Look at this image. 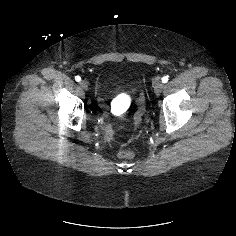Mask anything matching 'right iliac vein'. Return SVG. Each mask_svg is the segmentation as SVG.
Instances as JSON below:
<instances>
[{"instance_id": "right-iliac-vein-1", "label": "right iliac vein", "mask_w": 236, "mask_h": 236, "mask_svg": "<svg viewBox=\"0 0 236 236\" xmlns=\"http://www.w3.org/2000/svg\"><path fill=\"white\" fill-rule=\"evenodd\" d=\"M80 86L82 89L87 90L88 89V82L85 80L80 81Z\"/></svg>"}]
</instances>
